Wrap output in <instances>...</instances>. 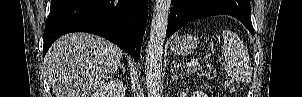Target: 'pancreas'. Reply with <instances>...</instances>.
<instances>
[{
    "label": "pancreas",
    "instance_id": "1",
    "mask_svg": "<svg viewBox=\"0 0 302 97\" xmlns=\"http://www.w3.org/2000/svg\"><path fill=\"white\" fill-rule=\"evenodd\" d=\"M199 69H200V68H199V64L197 63V64H195V65L189 67L188 72H189V73H194V72H196V71L199 70Z\"/></svg>",
    "mask_w": 302,
    "mask_h": 97
}]
</instances>
